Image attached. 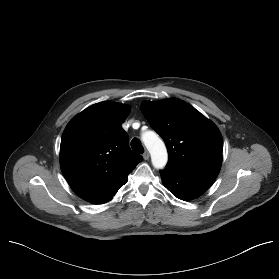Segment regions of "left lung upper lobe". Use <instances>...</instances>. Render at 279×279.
<instances>
[{
  "label": "left lung upper lobe",
  "mask_w": 279,
  "mask_h": 279,
  "mask_svg": "<svg viewBox=\"0 0 279 279\" xmlns=\"http://www.w3.org/2000/svg\"><path fill=\"white\" fill-rule=\"evenodd\" d=\"M141 110L166 144L167 168L196 177H217L223 140L212 121L188 103L174 98L143 102Z\"/></svg>",
  "instance_id": "obj_1"
}]
</instances>
